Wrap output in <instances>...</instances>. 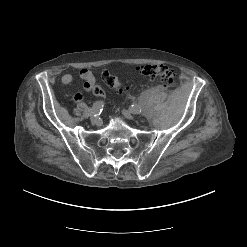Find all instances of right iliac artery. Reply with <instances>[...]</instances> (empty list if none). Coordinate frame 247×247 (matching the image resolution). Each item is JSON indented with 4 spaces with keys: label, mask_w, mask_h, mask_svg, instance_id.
<instances>
[{
    "label": "right iliac artery",
    "mask_w": 247,
    "mask_h": 247,
    "mask_svg": "<svg viewBox=\"0 0 247 247\" xmlns=\"http://www.w3.org/2000/svg\"><path fill=\"white\" fill-rule=\"evenodd\" d=\"M104 106V103L102 101H97L93 104V106L90 108V111L94 114V116H98L101 111L102 108Z\"/></svg>",
    "instance_id": "obj_1"
}]
</instances>
